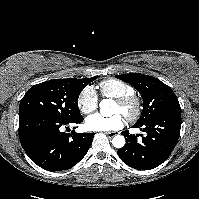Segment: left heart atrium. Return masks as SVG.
<instances>
[{"label": "left heart atrium", "mask_w": 199, "mask_h": 199, "mask_svg": "<svg viewBox=\"0 0 199 199\" xmlns=\"http://www.w3.org/2000/svg\"><path fill=\"white\" fill-rule=\"evenodd\" d=\"M125 123L122 113H115L112 116L105 117L101 114H93L86 120V126L92 131H111L118 130Z\"/></svg>", "instance_id": "left-heart-atrium-1"}]
</instances>
